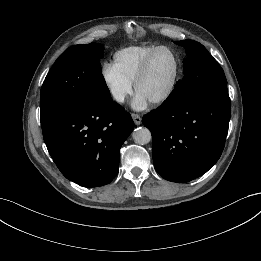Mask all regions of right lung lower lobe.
Here are the masks:
<instances>
[{
	"mask_svg": "<svg viewBox=\"0 0 261 261\" xmlns=\"http://www.w3.org/2000/svg\"><path fill=\"white\" fill-rule=\"evenodd\" d=\"M134 128L131 115L111 99L70 109L42 126L47 149L62 174L84 187L110 183L119 152Z\"/></svg>",
	"mask_w": 261,
	"mask_h": 261,
	"instance_id": "1",
	"label": "right lung lower lobe"
}]
</instances>
